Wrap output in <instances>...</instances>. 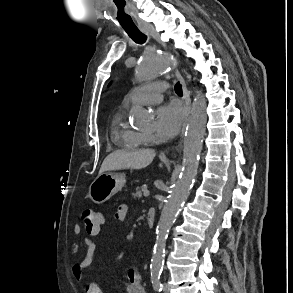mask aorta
<instances>
[{"label": "aorta", "instance_id": "1", "mask_svg": "<svg viewBox=\"0 0 293 293\" xmlns=\"http://www.w3.org/2000/svg\"><path fill=\"white\" fill-rule=\"evenodd\" d=\"M172 54L166 51H155L141 58L136 78L139 82L152 80L164 75L172 68ZM135 119L139 124L149 122V116L144 111H137ZM207 120L206 105L203 97L195 98L183 143V162L179 178L171 188V192L163 207L156 229V242L151 259V271L162 269L165 257L166 240L179 210L190 193L198 170L199 156L202 150L203 135Z\"/></svg>", "mask_w": 293, "mask_h": 293}]
</instances>
